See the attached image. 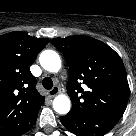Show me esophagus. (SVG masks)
I'll list each match as a JSON object with an SVG mask.
<instances>
[{
  "label": "esophagus",
  "instance_id": "esophagus-1",
  "mask_svg": "<svg viewBox=\"0 0 136 136\" xmlns=\"http://www.w3.org/2000/svg\"><path fill=\"white\" fill-rule=\"evenodd\" d=\"M59 93V87L58 86H54L49 92L48 95L49 97H54Z\"/></svg>",
  "mask_w": 136,
  "mask_h": 136
}]
</instances>
